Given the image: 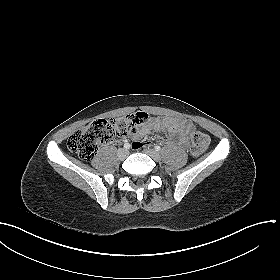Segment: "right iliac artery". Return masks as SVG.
<instances>
[{
	"mask_svg": "<svg viewBox=\"0 0 280 280\" xmlns=\"http://www.w3.org/2000/svg\"><path fill=\"white\" fill-rule=\"evenodd\" d=\"M131 145L129 143H125L124 144V148L127 150V149H130Z\"/></svg>",
	"mask_w": 280,
	"mask_h": 280,
	"instance_id": "right-iliac-artery-1",
	"label": "right iliac artery"
}]
</instances>
